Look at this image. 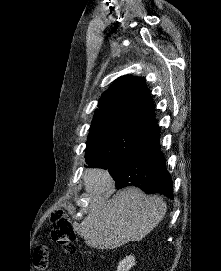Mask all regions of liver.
<instances>
[{"instance_id": "liver-1", "label": "liver", "mask_w": 221, "mask_h": 271, "mask_svg": "<svg viewBox=\"0 0 221 271\" xmlns=\"http://www.w3.org/2000/svg\"><path fill=\"white\" fill-rule=\"evenodd\" d=\"M83 179L90 197V211L75 229L90 247L114 249L127 241H141L166 213L162 197L146 195L133 185L117 191L111 201H107L115 187L107 169L87 167Z\"/></svg>"}]
</instances>
